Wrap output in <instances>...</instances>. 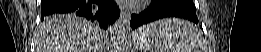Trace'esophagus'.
<instances>
[{"instance_id":"esophagus-1","label":"esophagus","mask_w":261,"mask_h":52,"mask_svg":"<svg viewBox=\"0 0 261 52\" xmlns=\"http://www.w3.org/2000/svg\"><path fill=\"white\" fill-rule=\"evenodd\" d=\"M130 18V14L127 10H121V16L120 19L123 21V23H128Z\"/></svg>"}]
</instances>
